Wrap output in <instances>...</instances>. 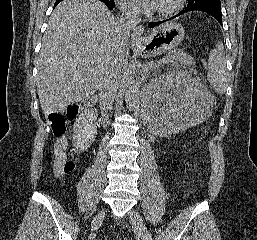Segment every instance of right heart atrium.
<instances>
[{
    "instance_id": "obj_1",
    "label": "right heart atrium",
    "mask_w": 257,
    "mask_h": 240,
    "mask_svg": "<svg viewBox=\"0 0 257 240\" xmlns=\"http://www.w3.org/2000/svg\"><path fill=\"white\" fill-rule=\"evenodd\" d=\"M121 10L128 16L134 17L138 13V9L132 0H118Z\"/></svg>"
}]
</instances>
